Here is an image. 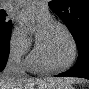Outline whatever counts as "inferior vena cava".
I'll use <instances>...</instances> for the list:
<instances>
[{
  "mask_svg": "<svg viewBox=\"0 0 89 89\" xmlns=\"http://www.w3.org/2000/svg\"><path fill=\"white\" fill-rule=\"evenodd\" d=\"M21 52L20 51H13L10 53L7 66L5 68L6 73L10 75H25V71L23 65L21 63Z\"/></svg>",
  "mask_w": 89,
  "mask_h": 89,
  "instance_id": "inferior-vena-cava-1",
  "label": "inferior vena cava"
}]
</instances>
